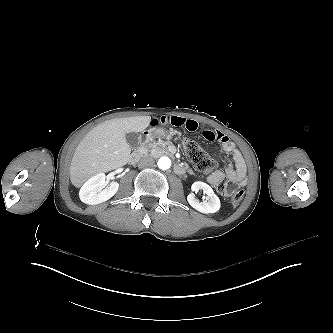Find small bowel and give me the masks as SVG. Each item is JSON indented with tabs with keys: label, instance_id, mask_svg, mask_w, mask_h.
<instances>
[{
	"label": "small bowel",
	"instance_id": "obj_1",
	"mask_svg": "<svg viewBox=\"0 0 333 333\" xmlns=\"http://www.w3.org/2000/svg\"><path fill=\"white\" fill-rule=\"evenodd\" d=\"M169 125L173 127L184 128L188 131L195 132L199 130V122L194 118L184 116H169L162 119H155L151 121V125ZM202 135L206 140L221 142V149L230 154L232 161L228 163L224 171L216 170L206 176V181L213 186L218 185L221 181L228 179L240 186L246 185L247 182V170L245 160L237 148V146L230 141V139L221 131L205 128L202 130ZM180 168H183L179 166Z\"/></svg>",
	"mask_w": 333,
	"mask_h": 333
}]
</instances>
